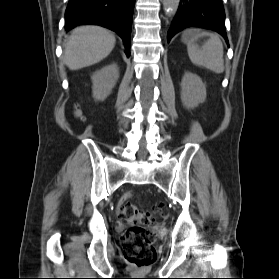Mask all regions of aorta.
Instances as JSON below:
<instances>
[{"label":"aorta","instance_id":"obj_1","mask_svg":"<svg viewBox=\"0 0 279 279\" xmlns=\"http://www.w3.org/2000/svg\"><path fill=\"white\" fill-rule=\"evenodd\" d=\"M179 2L180 0H164V7L169 16L175 15L179 6Z\"/></svg>","mask_w":279,"mask_h":279}]
</instances>
